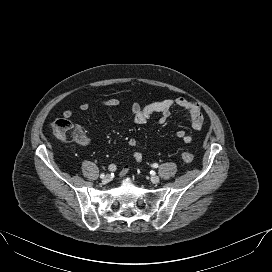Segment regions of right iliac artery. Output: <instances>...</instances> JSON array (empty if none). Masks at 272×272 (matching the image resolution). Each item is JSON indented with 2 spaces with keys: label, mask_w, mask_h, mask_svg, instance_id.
Segmentation results:
<instances>
[{
  "label": "right iliac artery",
  "mask_w": 272,
  "mask_h": 272,
  "mask_svg": "<svg viewBox=\"0 0 272 272\" xmlns=\"http://www.w3.org/2000/svg\"><path fill=\"white\" fill-rule=\"evenodd\" d=\"M104 176H105V175L102 173V174L100 175V178H104Z\"/></svg>",
  "instance_id": "1"
}]
</instances>
